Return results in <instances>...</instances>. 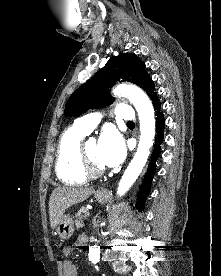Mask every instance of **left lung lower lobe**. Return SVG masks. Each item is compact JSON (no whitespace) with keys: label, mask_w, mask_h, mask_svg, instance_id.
Here are the masks:
<instances>
[{"label":"left lung lower lobe","mask_w":221,"mask_h":276,"mask_svg":"<svg viewBox=\"0 0 221 276\" xmlns=\"http://www.w3.org/2000/svg\"><path fill=\"white\" fill-rule=\"evenodd\" d=\"M153 101L154 108L157 110L156 111V133L157 137L155 140V147L153 150L152 154V160L150 161L148 165V170L147 173L145 174V177L142 181V184L140 186V191L138 192L137 195V202H136V207L138 208L139 211H142L144 208V204L146 201V197L149 195V190L151 186V181L153 179L155 169H156V160L159 156V151H160V144L163 141V130L165 126V120L163 113L160 111L161 108V103L160 100L158 99L157 95L151 98Z\"/></svg>","instance_id":"1"}]
</instances>
